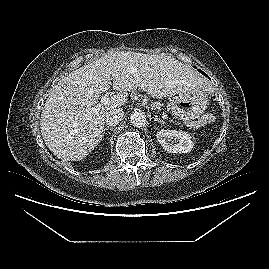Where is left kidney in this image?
Instances as JSON below:
<instances>
[{
    "instance_id": "1",
    "label": "left kidney",
    "mask_w": 269,
    "mask_h": 269,
    "mask_svg": "<svg viewBox=\"0 0 269 269\" xmlns=\"http://www.w3.org/2000/svg\"><path fill=\"white\" fill-rule=\"evenodd\" d=\"M157 140L170 153H187L193 148L190 134L185 131L160 130L156 134Z\"/></svg>"
}]
</instances>
